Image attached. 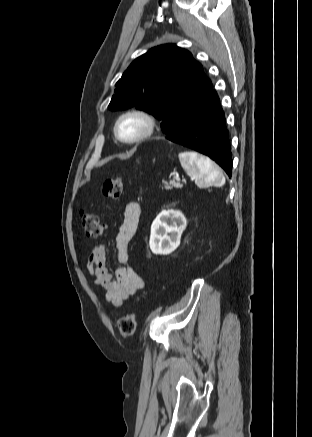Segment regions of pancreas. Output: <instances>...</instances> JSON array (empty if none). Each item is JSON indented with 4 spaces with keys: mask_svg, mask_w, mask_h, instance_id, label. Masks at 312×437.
Listing matches in <instances>:
<instances>
[{
    "mask_svg": "<svg viewBox=\"0 0 312 437\" xmlns=\"http://www.w3.org/2000/svg\"><path fill=\"white\" fill-rule=\"evenodd\" d=\"M183 187V185L182 184H180L179 182H175V181H171L169 184L168 183H166L165 184V189L166 190H171L172 188H182Z\"/></svg>",
    "mask_w": 312,
    "mask_h": 437,
    "instance_id": "obj_1",
    "label": "pancreas"
}]
</instances>
